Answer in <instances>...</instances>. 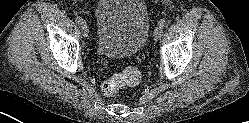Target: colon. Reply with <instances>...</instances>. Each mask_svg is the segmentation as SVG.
Masks as SVG:
<instances>
[{
  "mask_svg": "<svg viewBox=\"0 0 249 123\" xmlns=\"http://www.w3.org/2000/svg\"><path fill=\"white\" fill-rule=\"evenodd\" d=\"M140 80V73L132 66H128L122 73L114 74L102 83L101 89L106 96H117L127 86L135 85Z\"/></svg>",
  "mask_w": 249,
  "mask_h": 123,
  "instance_id": "colon-1",
  "label": "colon"
}]
</instances>
